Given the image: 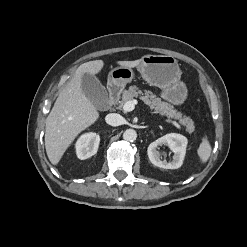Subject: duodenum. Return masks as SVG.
Returning a JSON list of instances; mask_svg holds the SVG:
<instances>
[{"label":"duodenum","mask_w":247,"mask_h":247,"mask_svg":"<svg viewBox=\"0 0 247 247\" xmlns=\"http://www.w3.org/2000/svg\"><path fill=\"white\" fill-rule=\"evenodd\" d=\"M119 97V89L115 86H111L108 91V101L109 106H112L116 103Z\"/></svg>","instance_id":"1"}]
</instances>
